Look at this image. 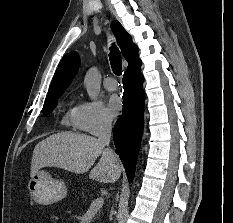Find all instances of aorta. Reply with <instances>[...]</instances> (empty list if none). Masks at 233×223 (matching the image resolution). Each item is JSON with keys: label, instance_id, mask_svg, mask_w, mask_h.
Segmentation results:
<instances>
[{"label": "aorta", "instance_id": "obj_1", "mask_svg": "<svg viewBox=\"0 0 233 223\" xmlns=\"http://www.w3.org/2000/svg\"><path fill=\"white\" fill-rule=\"evenodd\" d=\"M84 86L91 100H97V96L101 90V78L97 68H90L84 78Z\"/></svg>", "mask_w": 233, "mask_h": 223}]
</instances>
